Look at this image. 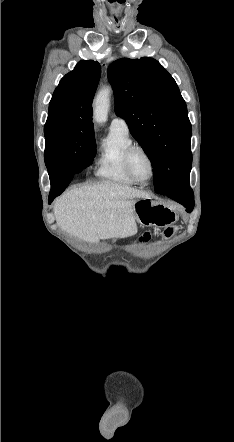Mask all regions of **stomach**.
<instances>
[{"label":"stomach","mask_w":234,"mask_h":442,"mask_svg":"<svg viewBox=\"0 0 234 442\" xmlns=\"http://www.w3.org/2000/svg\"><path fill=\"white\" fill-rule=\"evenodd\" d=\"M135 219L143 226L173 224L178 215L174 208L168 204L159 203L150 198H139L133 205Z\"/></svg>","instance_id":"1"}]
</instances>
